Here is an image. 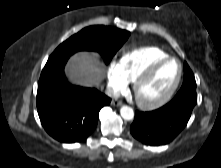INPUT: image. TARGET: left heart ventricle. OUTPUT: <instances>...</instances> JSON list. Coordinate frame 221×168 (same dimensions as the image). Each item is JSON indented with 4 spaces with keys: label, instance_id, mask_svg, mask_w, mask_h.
Instances as JSON below:
<instances>
[{
    "label": "left heart ventricle",
    "instance_id": "obj_1",
    "mask_svg": "<svg viewBox=\"0 0 221 168\" xmlns=\"http://www.w3.org/2000/svg\"><path fill=\"white\" fill-rule=\"evenodd\" d=\"M177 74L178 65L175 61L165 63L139 88L138 96L145 101L159 98L172 86Z\"/></svg>",
    "mask_w": 221,
    "mask_h": 168
}]
</instances>
